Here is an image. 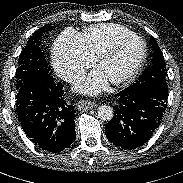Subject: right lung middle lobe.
I'll list each match as a JSON object with an SVG mask.
<instances>
[{"mask_svg": "<svg viewBox=\"0 0 183 183\" xmlns=\"http://www.w3.org/2000/svg\"><path fill=\"white\" fill-rule=\"evenodd\" d=\"M47 30H52L51 24L34 32L21 52L15 75L16 90L24 84L51 76L44 53L40 49V39Z\"/></svg>", "mask_w": 183, "mask_h": 183, "instance_id": "right-lung-middle-lobe-1", "label": "right lung middle lobe"}]
</instances>
